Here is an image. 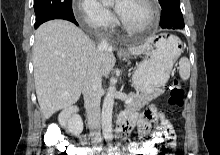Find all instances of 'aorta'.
Here are the masks:
<instances>
[{
  "label": "aorta",
  "instance_id": "obj_1",
  "mask_svg": "<svg viewBox=\"0 0 220 155\" xmlns=\"http://www.w3.org/2000/svg\"><path fill=\"white\" fill-rule=\"evenodd\" d=\"M114 0H102L103 4H111ZM116 80L112 81V84L109 86L108 92L105 96L103 107H102V129L105 134L112 133V112L114 105V96L116 92L115 87Z\"/></svg>",
  "mask_w": 220,
  "mask_h": 155
}]
</instances>
